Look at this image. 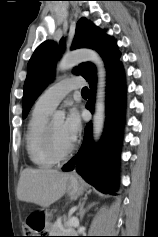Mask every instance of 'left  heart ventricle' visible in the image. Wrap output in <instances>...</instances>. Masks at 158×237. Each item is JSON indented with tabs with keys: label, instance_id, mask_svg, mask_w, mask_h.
I'll list each match as a JSON object with an SVG mask.
<instances>
[{
	"label": "left heart ventricle",
	"instance_id": "1",
	"mask_svg": "<svg viewBox=\"0 0 158 237\" xmlns=\"http://www.w3.org/2000/svg\"><path fill=\"white\" fill-rule=\"evenodd\" d=\"M62 121L51 122V133L54 147L59 153L66 152L70 147L71 143L65 138L62 132Z\"/></svg>",
	"mask_w": 158,
	"mask_h": 237
}]
</instances>
